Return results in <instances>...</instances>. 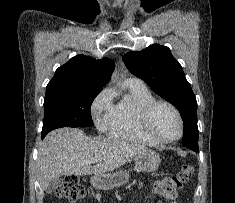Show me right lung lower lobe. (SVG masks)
I'll return each instance as SVG.
<instances>
[{
	"label": "right lung lower lobe",
	"mask_w": 235,
	"mask_h": 203,
	"mask_svg": "<svg viewBox=\"0 0 235 203\" xmlns=\"http://www.w3.org/2000/svg\"><path fill=\"white\" fill-rule=\"evenodd\" d=\"M47 135V133H43L42 134V139Z\"/></svg>",
	"instance_id": "obj_1"
}]
</instances>
